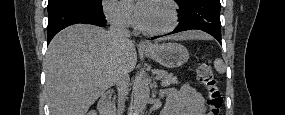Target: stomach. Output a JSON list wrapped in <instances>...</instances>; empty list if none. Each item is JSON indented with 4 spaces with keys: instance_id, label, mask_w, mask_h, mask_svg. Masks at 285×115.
Listing matches in <instances>:
<instances>
[{
    "instance_id": "1",
    "label": "stomach",
    "mask_w": 285,
    "mask_h": 115,
    "mask_svg": "<svg viewBox=\"0 0 285 115\" xmlns=\"http://www.w3.org/2000/svg\"><path fill=\"white\" fill-rule=\"evenodd\" d=\"M143 52L166 68H177L189 59V52L185 46L172 42L156 44Z\"/></svg>"
}]
</instances>
